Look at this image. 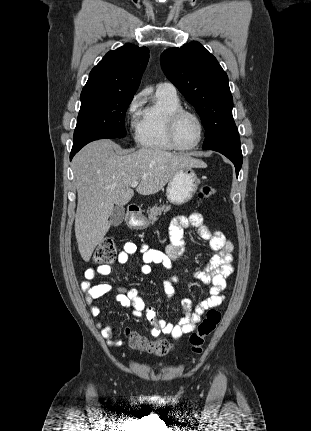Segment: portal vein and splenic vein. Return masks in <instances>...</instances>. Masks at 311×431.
Wrapping results in <instances>:
<instances>
[{"label":"portal vein and splenic vein","mask_w":311,"mask_h":431,"mask_svg":"<svg viewBox=\"0 0 311 431\" xmlns=\"http://www.w3.org/2000/svg\"><path fill=\"white\" fill-rule=\"evenodd\" d=\"M139 182H132L131 188H137Z\"/></svg>","instance_id":"obj_1"}]
</instances>
